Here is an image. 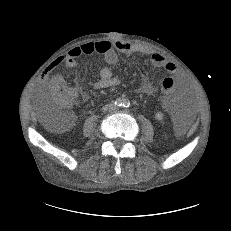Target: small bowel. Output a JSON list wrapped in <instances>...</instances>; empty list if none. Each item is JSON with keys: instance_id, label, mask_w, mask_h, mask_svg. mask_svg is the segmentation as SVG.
<instances>
[{"instance_id": "c3829d8e", "label": "small bowel", "mask_w": 231, "mask_h": 231, "mask_svg": "<svg viewBox=\"0 0 231 231\" xmlns=\"http://www.w3.org/2000/svg\"><path fill=\"white\" fill-rule=\"evenodd\" d=\"M119 53L125 55H134L137 53L148 54L150 56V62L152 63V65L164 68L168 73L172 74L177 79L182 78V73L179 71L177 66L173 62L168 61L161 53L155 52L151 49L139 48L121 41H117L114 43H111L109 41H98L74 47L67 54L59 57L54 62H52L47 69L46 74L49 75L51 71L59 65H64L67 68L75 67L76 59L81 55L101 54L103 55L105 62L109 66H111L117 63ZM109 66L103 67L100 70V79L93 85V89L100 90L120 85V79L113 74L112 69ZM82 81L83 76H78L76 78V83L78 85H80ZM57 86H59V83H53L51 90L56 88ZM146 91H152L151 85H148L146 87ZM170 93H165L166 95L162 99L163 106L166 109L170 108ZM80 95L83 100H87L89 98V92L87 91H81Z\"/></svg>"}]
</instances>
